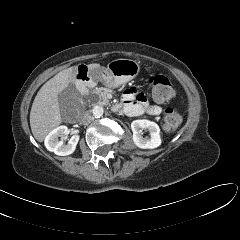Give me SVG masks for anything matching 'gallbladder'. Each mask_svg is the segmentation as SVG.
I'll use <instances>...</instances> for the list:
<instances>
[{
    "label": "gallbladder",
    "mask_w": 240,
    "mask_h": 240,
    "mask_svg": "<svg viewBox=\"0 0 240 240\" xmlns=\"http://www.w3.org/2000/svg\"><path fill=\"white\" fill-rule=\"evenodd\" d=\"M79 98V93L74 87L70 84L63 92L58 96V101L62 114H65L68 110L72 109Z\"/></svg>",
    "instance_id": "1"
}]
</instances>
